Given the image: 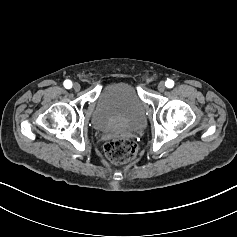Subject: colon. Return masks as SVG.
Here are the masks:
<instances>
[{
    "mask_svg": "<svg viewBox=\"0 0 237 237\" xmlns=\"http://www.w3.org/2000/svg\"><path fill=\"white\" fill-rule=\"evenodd\" d=\"M107 157L116 164L131 162L137 155V145L129 138H116L104 146Z\"/></svg>",
    "mask_w": 237,
    "mask_h": 237,
    "instance_id": "obj_1",
    "label": "colon"
}]
</instances>
